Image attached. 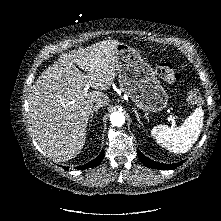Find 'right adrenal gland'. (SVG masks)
<instances>
[{"label":"right adrenal gland","instance_id":"obj_1","mask_svg":"<svg viewBox=\"0 0 221 221\" xmlns=\"http://www.w3.org/2000/svg\"><path fill=\"white\" fill-rule=\"evenodd\" d=\"M100 107H101L100 105H96V106L93 107V109L91 111V115H90V122H92L94 113L97 114L98 109H100Z\"/></svg>","mask_w":221,"mask_h":221}]
</instances>
